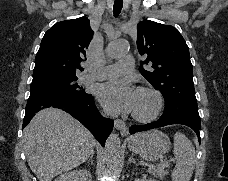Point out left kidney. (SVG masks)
Returning <instances> with one entry per match:
<instances>
[{
  "label": "left kidney",
  "mask_w": 228,
  "mask_h": 181,
  "mask_svg": "<svg viewBox=\"0 0 228 181\" xmlns=\"http://www.w3.org/2000/svg\"><path fill=\"white\" fill-rule=\"evenodd\" d=\"M149 181H154V179H149Z\"/></svg>",
  "instance_id": "left-kidney-1"
}]
</instances>
